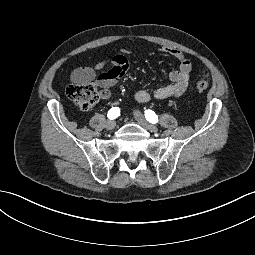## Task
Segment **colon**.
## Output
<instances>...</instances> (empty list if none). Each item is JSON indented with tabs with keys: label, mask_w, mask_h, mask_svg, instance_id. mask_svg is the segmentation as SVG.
<instances>
[{
	"label": "colon",
	"mask_w": 255,
	"mask_h": 255,
	"mask_svg": "<svg viewBox=\"0 0 255 255\" xmlns=\"http://www.w3.org/2000/svg\"><path fill=\"white\" fill-rule=\"evenodd\" d=\"M208 80H198L196 88L199 91L208 89ZM66 95L73 101L79 108L83 110L91 109L99 99V91L94 85L91 84H69L66 88Z\"/></svg>",
	"instance_id": "obj_1"
}]
</instances>
